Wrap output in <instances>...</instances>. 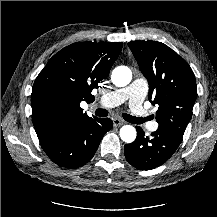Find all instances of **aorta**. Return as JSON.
I'll use <instances>...</instances> for the list:
<instances>
[{"instance_id": "762f6f07", "label": "aorta", "mask_w": 217, "mask_h": 217, "mask_svg": "<svg viewBox=\"0 0 217 217\" xmlns=\"http://www.w3.org/2000/svg\"><path fill=\"white\" fill-rule=\"evenodd\" d=\"M113 84L117 87H125L132 80V72L127 66L116 67L111 75ZM136 129L131 125H124L120 129V137L126 143H131L136 139Z\"/></svg>"}]
</instances>
